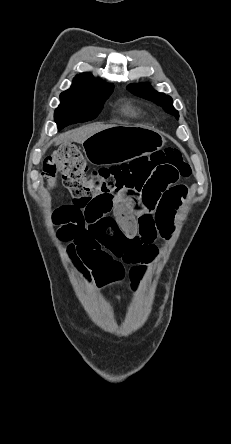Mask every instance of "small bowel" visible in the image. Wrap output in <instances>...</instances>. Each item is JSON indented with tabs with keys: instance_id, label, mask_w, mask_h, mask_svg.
Masks as SVG:
<instances>
[{
	"instance_id": "obj_1",
	"label": "small bowel",
	"mask_w": 231,
	"mask_h": 444,
	"mask_svg": "<svg viewBox=\"0 0 231 444\" xmlns=\"http://www.w3.org/2000/svg\"><path fill=\"white\" fill-rule=\"evenodd\" d=\"M186 192L184 186L154 184L143 194L73 200L60 207L66 220L58 233L87 280L99 286L121 281L127 263L136 285L157 254L156 239L173 233Z\"/></svg>"
}]
</instances>
